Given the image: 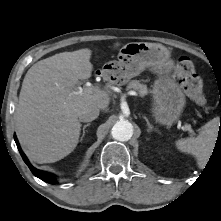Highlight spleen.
<instances>
[{"instance_id": "3e777b00", "label": "spleen", "mask_w": 221, "mask_h": 221, "mask_svg": "<svg viewBox=\"0 0 221 221\" xmlns=\"http://www.w3.org/2000/svg\"><path fill=\"white\" fill-rule=\"evenodd\" d=\"M219 130V119L214 118L206 123L197 137H189L176 141L181 152L192 154L199 167H204L210 158Z\"/></svg>"}]
</instances>
